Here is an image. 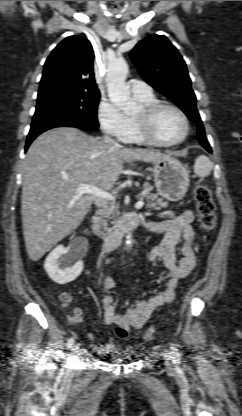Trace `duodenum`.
Segmentation results:
<instances>
[{
	"mask_svg": "<svg viewBox=\"0 0 242 416\" xmlns=\"http://www.w3.org/2000/svg\"><path fill=\"white\" fill-rule=\"evenodd\" d=\"M141 219L135 215L126 216L118 225H116L110 235L100 243L105 252L109 253L116 249L122 237L130 230L140 226ZM82 234L90 236V232L86 227H82Z\"/></svg>",
	"mask_w": 242,
	"mask_h": 416,
	"instance_id": "duodenum-1",
	"label": "duodenum"
}]
</instances>
